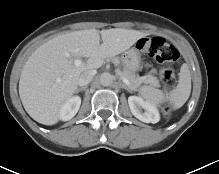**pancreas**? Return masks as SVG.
<instances>
[{
  "instance_id": "cf45deb5",
  "label": "pancreas",
  "mask_w": 219,
  "mask_h": 174,
  "mask_svg": "<svg viewBox=\"0 0 219 174\" xmlns=\"http://www.w3.org/2000/svg\"><path fill=\"white\" fill-rule=\"evenodd\" d=\"M115 63H118L117 60H114ZM121 78H125L129 81V87L131 89H136L141 83H150L151 85L158 87L159 86V81L156 77L152 75H147L143 77H139L135 75L134 73L124 69L120 73Z\"/></svg>"
}]
</instances>
